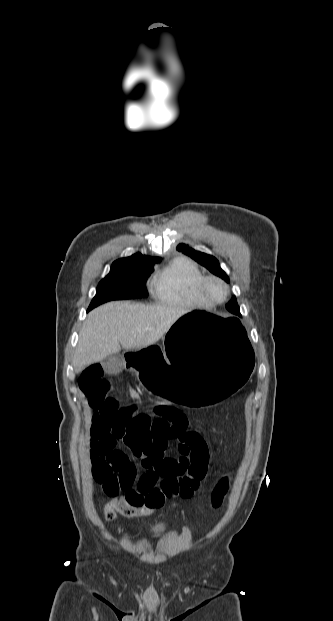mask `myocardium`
Wrapping results in <instances>:
<instances>
[{
	"instance_id": "obj_1",
	"label": "myocardium",
	"mask_w": 333,
	"mask_h": 621,
	"mask_svg": "<svg viewBox=\"0 0 333 621\" xmlns=\"http://www.w3.org/2000/svg\"><path fill=\"white\" fill-rule=\"evenodd\" d=\"M211 282H217L221 284L224 289L223 295L221 297L217 298L211 295V293L209 292V284ZM199 289L204 299L211 305H217L225 302L230 294V287L228 283L223 278L215 275L205 276L200 282Z\"/></svg>"
}]
</instances>
